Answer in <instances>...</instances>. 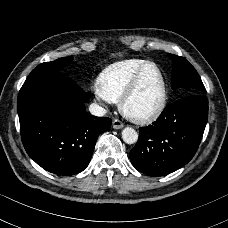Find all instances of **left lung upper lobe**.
Listing matches in <instances>:
<instances>
[{"label":"left lung upper lobe","mask_w":228,"mask_h":228,"mask_svg":"<svg viewBox=\"0 0 228 228\" xmlns=\"http://www.w3.org/2000/svg\"><path fill=\"white\" fill-rule=\"evenodd\" d=\"M172 60V89L187 88L190 94H205L206 89L195 68L183 57L168 54Z\"/></svg>","instance_id":"1"}]
</instances>
